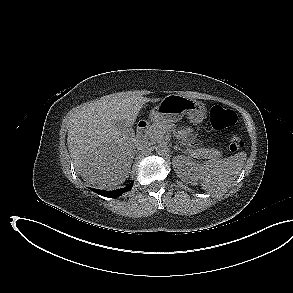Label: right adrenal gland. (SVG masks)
Listing matches in <instances>:
<instances>
[{
    "instance_id": "right-adrenal-gland-1",
    "label": "right adrenal gland",
    "mask_w": 293,
    "mask_h": 293,
    "mask_svg": "<svg viewBox=\"0 0 293 293\" xmlns=\"http://www.w3.org/2000/svg\"><path fill=\"white\" fill-rule=\"evenodd\" d=\"M134 156L132 157L131 163H133Z\"/></svg>"
}]
</instances>
